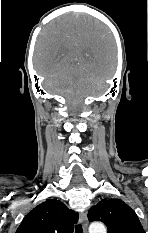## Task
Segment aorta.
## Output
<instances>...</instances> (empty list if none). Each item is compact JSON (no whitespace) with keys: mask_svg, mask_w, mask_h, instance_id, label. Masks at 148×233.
Here are the masks:
<instances>
[{"mask_svg":"<svg viewBox=\"0 0 148 233\" xmlns=\"http://www.w3.org/2000/svg\"><path fill=\"white\" fill-rule=\"evenodd\" d=\"M89 233H107V231L103 223L94 222L89 226Z\"/></svg>","mask_w":148,"mask_h":233,"instance_id":"aorta-1","label":"aorta"}]
</instances>
